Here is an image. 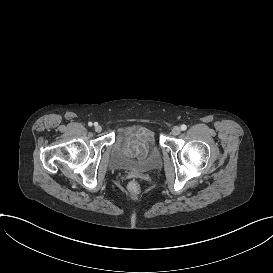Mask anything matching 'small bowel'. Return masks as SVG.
<instances>
[{
    "instance_id": "obj_1",
    "label": "small bowel",
    "mask_w": 273,
    "mask_h": 273,
    "mask_svg": "<svg viewBox=\"0 0 273 273\" xmlns=\"http://www.w3.org/2000/svg\"><path fill=\"white\" fill-rule=\"evenodd\" d=\"M137 141L133 142L132 147H136L135 153L143 157L147 153V149L150 148L151 134L148 131H140L136 134ZM124 148L129 147L126 142L123 144ZM134 152V150H133Z\"/></svg>"
}]
</instances>
